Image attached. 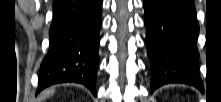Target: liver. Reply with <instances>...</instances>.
<instances>
[{"label": "liver", "mask_w": 221, "mask_h": 102, "mask_svg": "<svg viewBox=\"0 0 221 102\" xmlns=\"http://www.w3.org/2000/svg\"><path fill=\"white\" fill-rule=\"evenodd\" d=\"M54 92H55L54 88L45 90V91L43 92V94L40 96V99H39V100H44V99H46L47 97L51 96Z\"/></svg>", "instance_id": "obj_1"}]
</instances>
